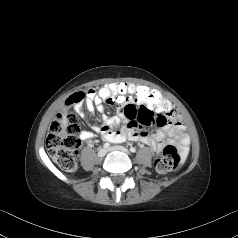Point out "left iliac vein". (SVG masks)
Wrapping results in <instances>:
<instances>
[{
	"mask_svg": "<svg viewBox=\"0 0 238 238\" xmlns=\"http://www.w3.org/2000/svg\"><path fill=\"white\" fill-rule=\"evenodd\" d=\"M108 151H120L127 155L130 154L129 150L123 146H112V147L108 148Z\"/></svg>",
	"mask_w": 238,
	"mask_h": 238,
	"instance_id": "obj_1",
	"label": "left iliac vein"
}]
</instances>
